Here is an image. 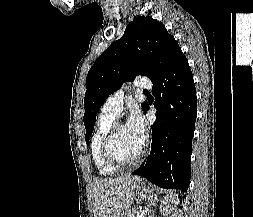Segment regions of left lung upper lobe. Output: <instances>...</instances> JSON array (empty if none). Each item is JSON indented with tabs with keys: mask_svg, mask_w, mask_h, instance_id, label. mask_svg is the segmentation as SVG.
I'll return each mask as SVG.
<instances>
[{
	"mask_svg": "<svg viewBox=\"0 0 253 217\" xmlns=\"http://www.w3.org/2000/svg\"><path fill=\"white\" fill-rule=\"evenodd\" d=\"M181 53L162 23L140 16L130 22L123 36L109 46L88 72L83 118L86 142L92 135L96 115L110 94L137 75L155 81ZM141 106L145 110L147 103Z\"/></svg>",
	"mask_w": 253,
	"mask_h": 217,
	"instance_id": "5c2ea615",
	"label": "left lung upper lobe"
}]
</instances>
